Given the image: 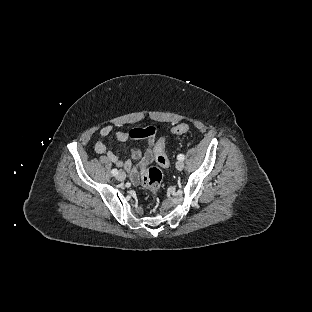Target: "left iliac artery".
I'll return each instance as SVG.
<instances>
[{
	"instance_id": "left-iliac-artery-1",
	"label": "left iliac artery",
	"mask_w": 312,
	"mask_h": 312,
	"mask_svg": "<svg viewBox=\"0 0 312 312\" xmlns=\"http://www.w3.org/2000/svg\"><path fill=\"white\" fill-rule=\"evenodd\" d=\"M177 159L183 161V160L185 159V156H184L183 154H179V155L177 156Z\"/></svg>"
}]
</instances>
